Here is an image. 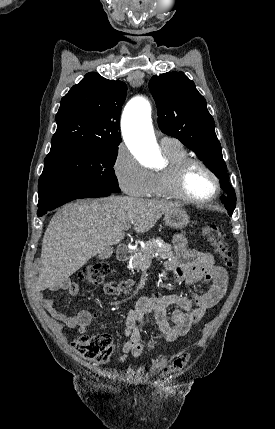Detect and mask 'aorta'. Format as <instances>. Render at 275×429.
<instances>
[{"label": "aorta", "mask_w": 275, "mask_h": 429, "mask_svg": "<svg viewBox=\"0 0 275 429\" xmlns=\"http://www.w3.org/2000/svg\"><path fill=\"white\" fill-rule=\"evenodd\" d=\"M151 114L150 103L143 97H137L127 104L121 121L127 147L147 167H155L161 157Z\"/></svg>", "instance_id": "762f6f07"}]
</instances>
